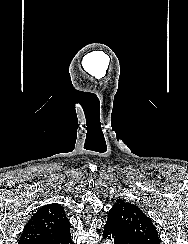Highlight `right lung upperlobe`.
<instances>
[{
	"label": "right lung upper lobe",
	"instance_id": "cb5924a9",
	"mask_svg": "<svg viewBox=\"0 0 188 244\" xmlns=\"http://www.w3.org/2000/svg\"><path fill=\"white\" fill-rule=\"evenodd\" d=\"M70 229L65 211L60 204H49L40 208L23 229L18 244H38L55 238Z\"/></svg>",
	"mask_w": 188,
	"mask_h": 244
}]
</instances>
